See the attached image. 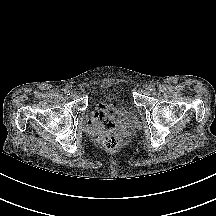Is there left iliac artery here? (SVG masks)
Instances as JSON below:
<instances>
[{
    "instance_id": "obj_1",
    "label": "left iliac artery",
    "mask_w": 216,
    "mask_h": 216,
    "mask_svg": "<svg viewBox=\"0 0 216 216\" xmlns=\"http://www.w3.org/2000/svg\"><path fill=\"white\" fill-rule=\"evenodd\" d=\"M149 89H150V91H154L155 90V86L154 85H149Z\"/></svg>"
}]
</instances>
